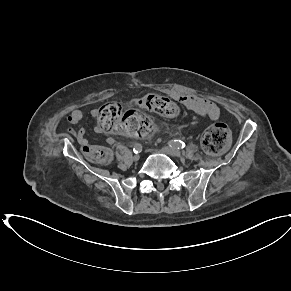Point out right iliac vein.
Segmentation results:
<instances>
[{
  "label": "right iliac vein",
  "mask_w": 291,
  "mask_h": 291,
  "mask_svg": "<svg viewBox=\"0 0 291 291\" xmlns=\"http://www.w3.org/2000/svg\"><path fill=\"white\" fill-rule=\"evenodd\" d=\"M139 158H140V155H139V154H135V155L133 156V160H134V161L139 160Z\"/></svg>",
  "instance_id": "obj_1"
}]
</instances>
